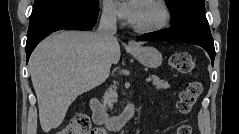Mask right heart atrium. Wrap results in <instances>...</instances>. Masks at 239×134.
Returning a JSON list of instances; mask_svg holds the SVG:
<instances>
[{
  "mask_svg": "<svg viewBox=\"0 0 239 134\" xmlns=\"http://www.w3.org/2000/svg\"><path fill=\"white\" fill-rule=\"evenodd\" d=\"M103 16L109 22H115L118 19V14L115 6L111 1L103 2Z\"/></svg>",
  "mask_w": 239,
  "mask_h": 134,
  "instance_id": "1",
  "label": "right heart atrium"
}]
</instances>
